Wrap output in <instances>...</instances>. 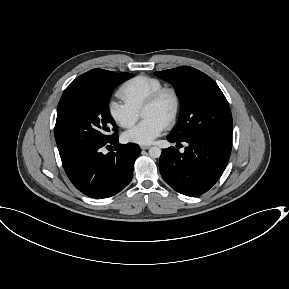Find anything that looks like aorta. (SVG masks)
<instances>
[{"instance_id":"aorta-1","label":"aorta","mask_w":289,"mask_h":289,"mask_svg":"<svg viewBox=\"0 0 289 289\" xmlns=\"http://www.w3.org/2000/svg\"><path fill=\"white\" fill-rule=\"evenodd\" d=\"M149 156L152 158H159L161 156V149L159 147H151L149 149Z\"/></svg>"}]
</instances>
